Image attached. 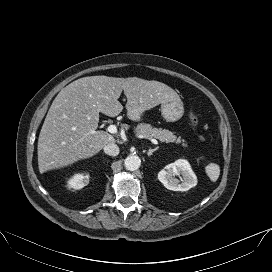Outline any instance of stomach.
<instances>
[{
	"label": "stomach",
	"mask_w": 272,
	"mask_h": 272,
	"mask_svg": "<svg viewBox=\"0 0 272 272\" xmlns=\"http://www.w3.org/2000/svg\"><path fill=\"white\" fill-rule=\"evenodd\" d=\"M161 113L167 122H175L182 118L184 106L180 100H172L162 103Z\"/></svg>",
	"instance_id": "stomach-1"
}]
</instances>
